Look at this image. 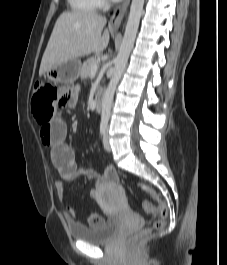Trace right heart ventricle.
Listing matches in <instances>:
<instances>
[{
    "instance_id": "e07e8e85",
    "label": "right heart ventricle",
    "mask_w": 227,
    "mask_h": 265,
    "mask_svg": "<svg viewBox=\"0 0 227 265\" xmlns=\"http://www.w3.org/2000/svg\"><path fill=\"white\" fill-rule=\"evenodd\" d=\"M72 11L77 13L94 12L100 6V0H67Z\"/></svg>"
}]
</instances>
